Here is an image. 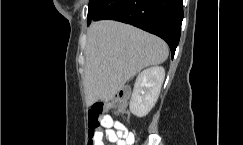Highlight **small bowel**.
<instances>
[{
    "label": "small bowel",
    "instance_id": "small-bowel-1",
    "mask_svg": "<svg viewBox=\"0 0 243 145\" xmlns=\"http://www.w3.org/2000/svg\"><path fill=\"white\" fill-rule=\"evenodd\" d=\"M101 126L105 130L98 129L93 136V145H104V138L115 145H134L135 134L127 130L124 125L106 115L101 119Z\"/></svg>",
    "mask_w": 243,
    "mask_h": 145
}]
</instances>
